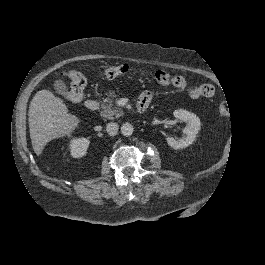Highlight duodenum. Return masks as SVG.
Instances as JSON below:
<instances>
[{
	"label": "duodenum",
	"instance_id": "410a0bca",
	"mask_svg": "<svg viewBox=\"0 0 265 265\" xmlns=\"http://www.w3.org/2000/svg\"><path fill=\"white\" fill-rule=\"evenodd\" d=\"M98 101L94 98H89L85 101V107L90 111H95L98 109ZM147 106L142 103L137 104V111L143 113L146 110Z\"/></svg>",
	"mask_w": 265,
	"mask_h": 265
}]
</instances>
